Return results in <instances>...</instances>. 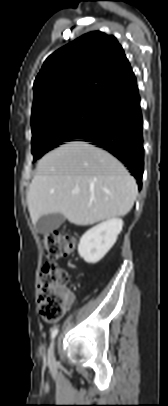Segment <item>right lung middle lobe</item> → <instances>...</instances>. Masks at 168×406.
<instances>
[{
  "instance_id": "obj_1",
  "label": "right lung middle lobe",
  "mask_w": 168,
  "mask_h": 406,
  "mask_svg": "<svg viewBox=\"0 0 168 406\" xmlns=\"http://www.w3.org/2000/svg\"><path fill=\"white\" fill-rule=\"evenodd\" d=\"M105 101L83 100L31 123L34 161L93 128L105 115Z\"/></svg>"
}]
</instances>
